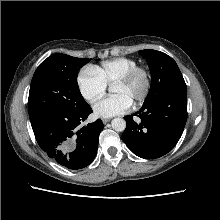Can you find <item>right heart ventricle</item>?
I'll return each instance as SVG.
<instances>
[{
  "mask_svg": "<svg viewBox=\"0 0 220 220\" xmlns=\"http://www.w3.org/2000/svg\"><path fill=\"white\" fill-rule=\"evenodd\" d=\"M138 66V62L127 57H117L93 66L97 76L106 84L113 85L119 78Z\"/></svg>",
  "mask_w": 220,
  "mask_h": 220,
  "instance_id": "obj_1",
  "label": "right heart ventricle"
}]
</instances>
